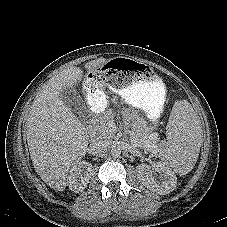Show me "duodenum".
Listing matches in <instances>:
<instances>
[{
  "instance_id": "duodenum-1",
  "label": "duodenum",
  "mask_w": 227,
  "mask_h": 227,
  "mask_svg": "<svg viewBox=\"0 0 227 227\" xmlns=\"http://www.w3.org/2000/svg\"><path fill=\"white\" fill-rule=\"evenodd\" d=\"M96 126H97V119L96 118H91L88 126H87V131L89 133L90 136H93L96 130Z\"/></svg>"
}]
</instances>
